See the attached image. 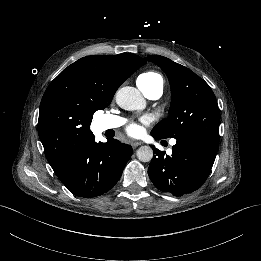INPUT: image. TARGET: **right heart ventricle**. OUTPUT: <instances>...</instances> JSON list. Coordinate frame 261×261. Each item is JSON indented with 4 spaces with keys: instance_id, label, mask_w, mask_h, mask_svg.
<instances>
[{
    "instance_id": "right-heart-ventricle-1",
    "label": "right heart ventricle",
    "mask_w": 261,
    "mask_h": 261,
    "mask_svg": "<svg viewBox=\"0 0 261 261\" xmlns=\"http://www.w3.org/2000/svg\"><path fill=\"white\" fill-rule=\"evenodd\" d=\"M137 84L140 91L144 94L146 90L153 88H164V79L162 75L156 71H147L142 73L138 79Z\"/></svg>"
}]
</instances>
